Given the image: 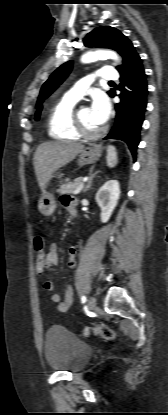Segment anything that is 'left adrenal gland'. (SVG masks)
<instances>
[{"instance_id":"obj_1","label":"left adrenal gland","mask_w":168,"mask_h":415,"mask_svg":"<svg viewBox=\"0 0 168 415\" xmlns=\"http://www.w3.org/2000/svg\"><path fill=\"white\" fill-rule=\"evenodd\" d=\"M97 174L98 172L93 173V168L90 169L89 180L83 192H87L90 189V187L92 186L93 179L96 177Z\"/></svg>"}]
</instances>
